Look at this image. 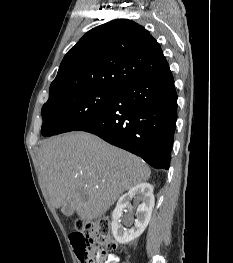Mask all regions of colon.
<instances>
[{
  "label": "colon",
  "mask_w": 233,
  "mask_h": 263,
  "mask_svg": "<svg viewBox=\"0 0 233 263\" xmlns=\"http://www.w3.org/2000/svg\"><path fill=\"white\" fill-rule=\"evenodd\" d=\"M69 238L81 263H105L108 255L116 249L110 222L103 218L77 221Z\"/></svg>",
  "instance_id": "colon-1"
}]
</instances>
